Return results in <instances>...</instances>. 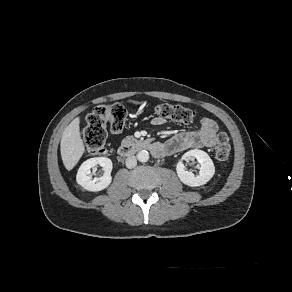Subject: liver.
<instances>
[{"label": "liver", "mask_w": 292, "mask_h": 292, "mask_svg": "<svg viewBox=\"0 0 292 292\" xmlns=\"http://www.w3.org/2000/svg\"><path fill=\"white\" fill-rule=\"evenodd\" d=\"M80 119L76 117L64 130L61 143L60 151L61 158L65 168L70 171L78 163L85 147L80 136Z\"/></svg>", "instance_id": "obj_1"}]
</instances>
